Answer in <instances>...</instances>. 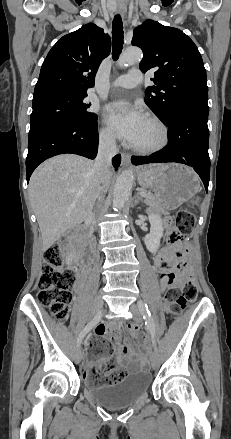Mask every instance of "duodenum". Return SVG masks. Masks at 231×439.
I'll use <instances>...</instances> for the list:
<instances>
[{
	"label": "duodenum",
	"instance_id": "410a0bca",
	"mask_svg": "<svg viewBox=\"0 0 231 439\" xmlns=\"http://www.w3.org/2000/svg\"><path fill=\"white\" fill-rule=\"evenodd\" d=\"M88 227L87 226H81L80 228H78L77 230H75V232L73 233L74 236H78L81 235L82 233H84L85 231H87ZM85 269H89V266L86 264L83 266Z\"/></svg>",
	"mask_w": 231,
	"mask_h": 439
}]
</instances>
